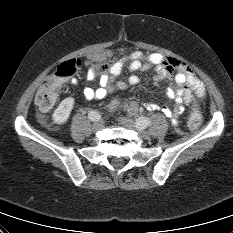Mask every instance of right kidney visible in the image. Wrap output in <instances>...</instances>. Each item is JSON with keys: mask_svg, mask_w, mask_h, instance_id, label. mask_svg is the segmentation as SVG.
<instances>
[{"mask_svg": "<svg viewBox=\"0 0 233 233\" xmlns=\"http://www.w3.org/2000/svg\"><path fill=\"white\" fill-rule=\"evenodd\" d=\"M74 106V98L68 97L61 101L59 106L55 109L52 114V119L54 123L62 125L68 120L71 110Z\"/></svg>", "mask_w": 233, "mask_h": 233, "instance_id": "obj_1", "label": "right kidney"}]
</instances>
